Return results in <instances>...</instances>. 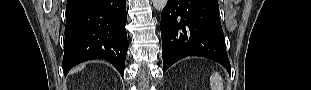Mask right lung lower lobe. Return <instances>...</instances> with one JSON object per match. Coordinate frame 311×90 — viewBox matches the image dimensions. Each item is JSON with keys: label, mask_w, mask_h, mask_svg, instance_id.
Returning <instances> with one entry per match:
<instances>
[{"label": "right lung lower lobe", "mask_w": 311, "mask_h": 90, "mask_svg": "<svg viewBox=\"0 0 311 90\" xmlns=\"http://www.w3.org/2000/svg\"><path fill=\"white\" fill-rule=\"evenodd\" d=\"M63 72L105 59L123 76L127 54L126 0H68Z\"/></svg>", "instance_id": "1"}]
</instances>
